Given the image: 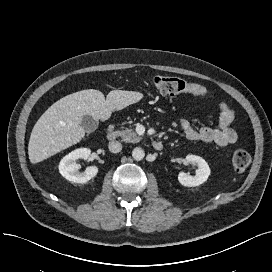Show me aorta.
Segmentation results:
<instances>
[{
    "label": "aorta",
    "mask_w": 272,
    "mask_h": 272,
    "mask_svg": "<svg viewBox=\"0 0 272 272\" xmlns=\"http://www.w3.org/2000/svg\"><path fill=\"white\" fill-rule=\"evenodd\" d=\"M145 156L144 150L140 147H136L132 151V157L136 161H141Z\"/></svg>",
    "instance_id": "aorta-1"
}]
</instances>
